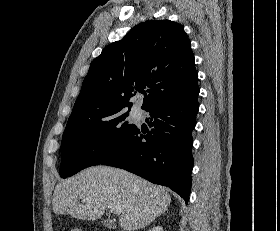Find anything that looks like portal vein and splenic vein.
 <instances>
[{"instance_id":"1","label":"portal vein and splenic vein","mask_w":280,"mask_h":231,"mask_svg":"<svg viewBox=\"0 0 280 231\" xmlns=\"http://www.w3.org/2000/svg\"><path fill=\"white\" fill-rule=\"evenodd\" d=\"M110 211H114V213H120L121 207H112V209H110Z\"/></svg>"}]
</instances>
